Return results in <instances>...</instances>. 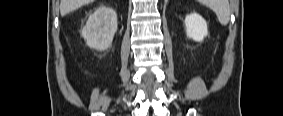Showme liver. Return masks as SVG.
I'll return each mask as SVG.
<instances>
[{"mask_svg":"<svg viewBox=\"0 0 283 116\" xmlns=\"http://www.w3.org/2000/svg\"><path fill=\"white\" fill-rule=\"evenodd\" d=\"M93 0H60V13L61 16H65L68 13L82 7L85 4H89Z\"/></svg>","mask_w":283,"mask_h":116,"instance_id":"1","label":"liver"}]
</instances>
